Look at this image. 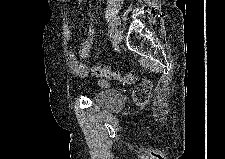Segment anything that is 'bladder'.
Wrapping results in <instances>:
<instances>
[{
  "label": "bladder",
  "mask_w": 225,
  "mask_h": 159,
  "mask_svg": "<svg viewBox=\"0 0 225 159\" xmlns=\"http://www.w3.org/2000/svg\"><path fill=\"white\" fill-rule=\"evenodd\" d=\"M95 103L103 109L113 112L124 107L125 99L120 92L106 87L97 92Z\"/></svg>",
  "instance_id": "31cf9c89"
}]
</instances>
